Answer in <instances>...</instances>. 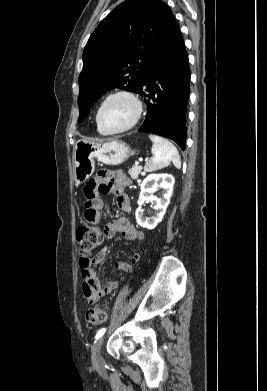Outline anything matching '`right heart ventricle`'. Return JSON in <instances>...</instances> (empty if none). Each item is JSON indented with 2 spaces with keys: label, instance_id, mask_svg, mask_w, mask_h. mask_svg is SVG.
Here are the masks:
<instances>
[{
  "label": "right heart ventricle",
  "instance_id": "1",
  "mask_svg": "<svg viewBox=\"0 0 267 391\" xmlns=\"http://www.w3.org/2000/svg\"><path fill=\"white\" fill-rule=\"evenodd\" d=\"M96 130H97V132H98L99 134H101V135H107V133L104 132V131L99 127V125L97 124V122H96Z\"/></svg>",
  "mask_w": 267,
  "mask_h": 391
}]
</instances>
